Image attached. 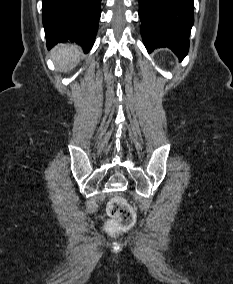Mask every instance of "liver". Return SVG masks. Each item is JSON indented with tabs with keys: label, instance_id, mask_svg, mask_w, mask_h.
I'll return each instance as SVG.
<instances>
[{
	"label": "liver",
	"instance_id": "1",
	"mask_svg": "<svg viewBox=\"0 0 233 284\" xmlns=\"http://www.w3.org/2000/svg\"><path fill=\"white\" fill-rule=\"evenodd\" d=\"M81 55L76 45L61 44L54 48L53 59L62 71L72 69Z\"/></svg>",
	"mask_w": 233,
	"mask_h": 284
}]
</instances>
